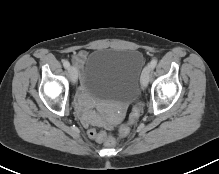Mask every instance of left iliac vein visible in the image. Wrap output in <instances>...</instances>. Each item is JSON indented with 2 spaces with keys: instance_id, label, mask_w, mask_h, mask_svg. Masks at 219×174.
<instances>
[{
  "instance_id": "4c4485c4",
  "label": "left iliac vein",
  "mask_w": 219,
  "mask_h": 174,
  "mask_svg": "<svg viewBox=\"0 0 219 174\" xmlns=\"http://www.w3.org/2000/svg\"><path fill=\"white\" fill-rule=\"evenodd\" d=\"M151 67L150 65H147L141 74V86L145 88L149 82L150 75H151Z\"/></svg>"
}]
</instances>
